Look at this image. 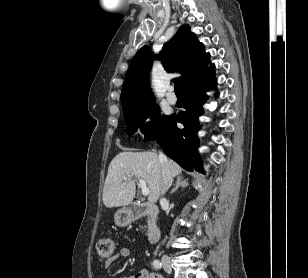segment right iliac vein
I'll use <instances>...</instances> for the list:
<instances>
[{
  "mask_svg": "<svg viewBox=\"0 0 308 278\" xmlns=\"http://www.w3.org/2000/svg\"><path fill=\"white\" fill-rule=\"evenodd\" d=\"M162 264L165 271L170 274L172 272V263L167 255L162 256Z\"/></svg>",
  "mask_w": 308,
  "mask_h": 278,
  "instance_id": "63e3f726",
  "label": "right iliac vein"
}]
</instances>
